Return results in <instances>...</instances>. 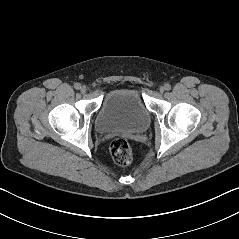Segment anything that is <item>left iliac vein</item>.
<instances>
[{"label": "left iliac vein", "instance_id": "4c4485c4", "mask_svg": "<svg viewBox=\"0 0 239 239\" xmlns=\"http://www.w3.org/2000/svg\"><path fill=\"white\" fill-rule=\"evenodd\" d=\"M165 91V86H161L160 88H159V92L160 93H163Z\"/></svg>", "mask_w": 239, "mask_h": 239}]
</instances>
